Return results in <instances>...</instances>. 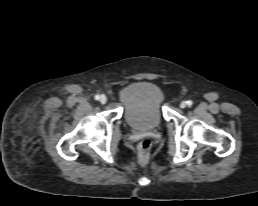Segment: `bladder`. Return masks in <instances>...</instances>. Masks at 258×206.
I'll use <instances>...</instances> for the list:
<instances>
[{
	"instance_id": "1",
	"label": "bladder",
	"mask_w": 258,
	"mask_h": 206,
	"mask_svg": "<svg viewBox=\"0 0 258 206\" xmlns=\"http://www.w3.org/2000/svg\"><path fill=\"white\" fill-rule=\"evenodd\" d=\"M125 122L133 129L150 130L163 120L164 96L152 82H134L124 87L119 94Z\"/></svg>"
}]
</instances>
